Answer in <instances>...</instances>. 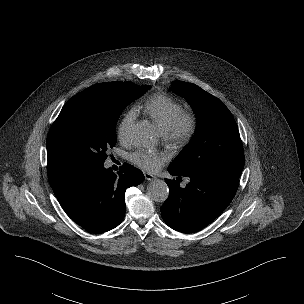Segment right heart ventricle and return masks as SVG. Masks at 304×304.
Segmentation results:
<instances>
[{
  "instance_id": "1",
  "label": "right heart ventricle",
  "mask_w": 304,
  "mask_h": 304,
  "mask_svg": "<svg viewBox=\"0 0 304 304\" xmlns=\"http://www.w3.org/2000/svg\"><path fill=\"white\" fill-rule=\"evenodd\" d=\"M142 107L162 131L168 127L175 115L181 110V105L177 101L161 93L148 97Z\"/></svg>"
}]
</instances>
